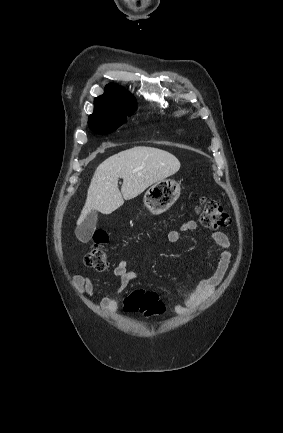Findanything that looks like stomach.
<instances>
[{
	"label": "stomach",
	"mask_w": 283,
	"mask_h": 433,
	"mask_svg": "<svg viewBox=\"0 0 283 433\" xmlns=\"http://www.w3.org/2000/svg\"><path fill=\"white\" fill-rule=\"evenodd\" d=\"M181 194V184L172 178H162L149 186L144 194V204L152 214H161L174 204Z\"/></svg>",
	"instance_id": "0dacf381"
}]
</instances>
